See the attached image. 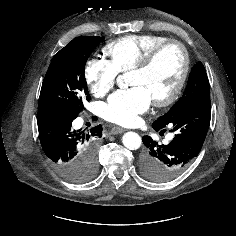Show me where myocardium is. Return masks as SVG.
<instances>
[{"label":"myocardium","mask_w":236,"mask_h":236,"mask_svg":"<svg viewBox=\"0 0 236 236\" xmlns=\"http://www.w3.org/2000/svg\"><path fill=\"white\" fill-rule=\"evenodd\" d=\"M172 45L177 46L182 53V56H183L182 69H181L178 80H177L174 88L172 89V91L164 98L153 100V103L156 107L170 106L171 104H173L176 101V99L180 95V93L187 81L189 71H190V57H189V53H188L187 48L179 40H176V39L166 40V41L156 45L155 47H153L143 57V59L131 69L132 72H143V71L149 69L152 66V64L154 63L157 56L164 49H166L167 47L172 46Z\"/></svg>","instance_id":"obj_1"}]
</instances>
